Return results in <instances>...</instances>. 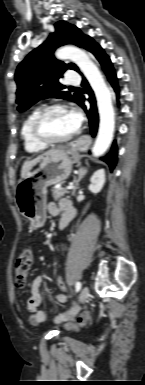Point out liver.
<instances>
[{
  "label": "liver",
  "mask_w": 145,
  "mask_h": 385,
  "mask_svg": "<svg viewBox=\"0 0 145 385\" xmlns=\"http://www.w3.org/2000/svg\"><path fill=\"white\" fill-rule=\"evenodd\" d=\"M41 156L31 160V161H26L24 162L23 166H22V169H21V178L24 177L28 172L29 170L31 169V167L33 166V164L40 158Z\"/></svg>",
  "instance_id": "liver-1"
}]
</instances>
